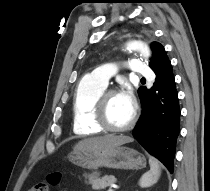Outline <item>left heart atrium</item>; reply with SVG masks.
I'll return each mask as SVG.
<instances>
[{
	"label": "left heart atrium",
	"mask_w": 210,
	"mask_h": 191,
	"mask_svg": "<svg viewBox=\"0 0 210 191\" xmlns=\"http://www.w3.org/2000/svg\"><path fill=\"white\" fill-rule=\"evenodd\" d=\"M119 96L121 97V99L128 104L129 106H131L133 108L134 105V97L133 94L131 92V90L129 88H124L120 93Z\"/></svg>",
	"instance_id": "39dd6f15"
}]
</instances>
